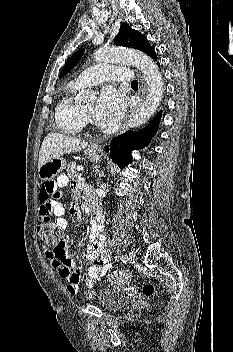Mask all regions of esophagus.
Returning a JSON list of instances; mask_svg holds the SVG:
<instances>
[{
  "instance_id": "34e87169",
  "label": "esophagus",
  "mask_w": 233,
  "mask_h": 352,
  "mask_svg": "<svg viewBox=\"0 0 233 352\" xmlns=\"http://www.w3.org/2000/svg\"><path fill=\"white\" fill-rule=\"evenodd\" d=\"M139 79H140V82H141V86H142V93H141V96H140V102L138 105H140L142 103V101L144 100L145 98V95H146V91H147V87H146V82H145V78L139 74ZM134 111V108L131 109L130 113L128 114V117L127 119L125 120V122L123 123L122 127L120 128L119 130V133L118 134H122L126 128H127V123H128V119L131 115V113Z\"/></svg>"
}]
</instances>
